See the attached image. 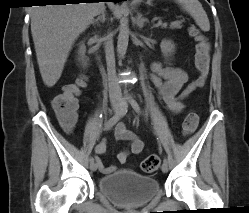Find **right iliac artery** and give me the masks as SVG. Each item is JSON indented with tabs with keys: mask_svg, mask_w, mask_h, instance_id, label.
Here are the masks:
<instances>
[{
	"mask_svg": "<svg viewBox=\"0 0 249 213\" xmlns=\"http://www.w3.org/2000/svg\"><path fill=\"white\" fill-rule=\"evenodd\" d=\"M127 111H128V105L127 102L124 101L122 103L120 110L106 122L105 129L107 130L111 129L127 113ZM90 162H94L93 157L90 158Z\"/></svg>",
	"mask_w": 249,
	"mask_h": 213,
	"instance_id": "82829eb1",
	"label": "right iliac artery"
}]
</instances>
